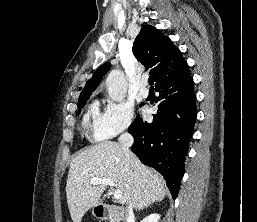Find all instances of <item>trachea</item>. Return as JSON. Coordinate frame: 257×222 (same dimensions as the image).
<instances>
[{"mask_svg":"<svg viewBox=\"0 0 257 222\" xmlns=\"http://www.w3.org/2000/svg\"><path fill=\"white\" fill-rule=\"evenodd\" d=\"M153 83H154V77L150 76L149 77V84H150L151 87H153Z\"/></svg>","mask_w":257,"mask_h":222,"instance_id":"3493384b","label":"trachea"}]
</instances>
